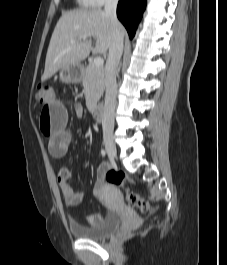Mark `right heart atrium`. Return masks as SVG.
Instances as JSON below:
<instances>
[{
    "label": "right heart atrium",
    "mask_w": 227,
    "mask_h": 265,
    "mask_svg": "<svg viewBox=\"0 0 227 265\" xmlns=\"http://www.w3.org/2000/svg\"><path fill=\"white\" fill-rule=\"evenodd\" d=\"M112 1H115V0H88L90 5H92V6H103V5L110 3Z\"/></svg>",
    "instance_id": "d8ad5b80"
}]
</instances>
